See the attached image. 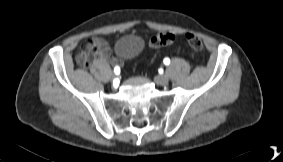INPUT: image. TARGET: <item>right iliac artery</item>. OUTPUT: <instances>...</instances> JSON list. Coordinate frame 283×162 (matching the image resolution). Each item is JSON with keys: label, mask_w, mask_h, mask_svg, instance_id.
Masks as SVG:
<instances>
[{"label": "right iliac artery", "mask_w": 283, "mask_h": 162, "mask_svg": "<svg viewBox=\"0 0 283 162\" xmlns=\"http://www.w3.org/2000/svg\"><path fill=\"white\" fill-rule=\"evenodd\" d=\"M114 72L116 73V75L118 76L120 73V68L118 67V66H116L115 68H114Z\"/></svg>", "instance_id": "82829eb1"}]
</instances>
